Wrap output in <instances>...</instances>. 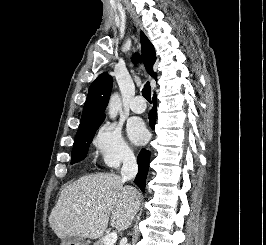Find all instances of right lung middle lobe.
<instances>
[{"mask_svg":"<svg viewBox=\"0 0 266 245\" xmlns=\"http://www.w3.org/2000/svg\"><path fill=\"white\" fill-rule=\"evenodd\" d=\"M104 118L105 117H102L89 123L79 125L73 144L71 164L77 163L86 157L89 145Z\"/></svg>","mask_w":266,"mask_h":245,"instance_id":"obj_1","label":"right lung middle lobe"}]
</instances>
